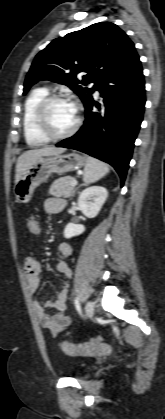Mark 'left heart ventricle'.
Instances as JSON below:
<instances>
[{"label":"left heart ventricle","instance_id":"left-heart-ventricle-1","mask_svg":"<svg viewBox=\"0 0 165 419\" xmlns=\"http://www.w3.org/2000/svg\"><path fill=\"white\" fill-rule=\"evenodd\" d=\"M48 120L54 133H64L75 123L76 108L70 102H55L48 110Z\"/></svg>","mask_w":165,"mask_h":419}]
</instances>
